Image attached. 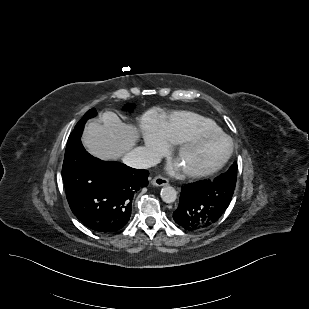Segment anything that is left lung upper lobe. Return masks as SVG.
<instances>
[{"label": "left lung upper lobe", "mask_w": 309, "mask_h": 309, "mask_svg": "<svg viewBox=\"0 0 309 309\" xmlns=\"http://www.w3.org/2000/svg\"><path fill=\"white\" fill-rule=\"evenodd\" d=\"M237 169H238L237 163H234L226 173L220 175L216 179L218 181H230V182L236 183Z\"/></svg>", "instance_id": "left-lung-upper-lobe-1"}]
</instances>
